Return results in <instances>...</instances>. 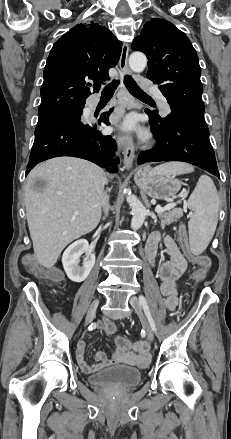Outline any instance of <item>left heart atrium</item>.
Returning a JSON list of instances; mask_svg holds the SVG:
<instances>
[{
    "label": "left heart atrium",
    "mask_w": 231,
    "mask_h": 439,
    "mask_svg": "<svg viewBox=\"0 0 231 439\" xmlns=\"http://www.w3.org/2000/svg\"><path fill=\"white\" fill-rule=\"evenodd\" d=\"M123 130H133L136 128V121L133 116H128L124 119V121L120 125Z\"/></svg>",
    "instance_id": "39dd6f15"
}]
</instances>
